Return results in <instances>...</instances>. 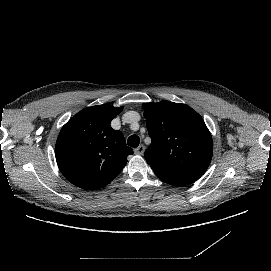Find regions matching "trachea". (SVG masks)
Listing matches in <instances>:
<instances>
[{
    "label": "trachea",
    "mask_w": 271,
    "mask_h": 271,
    "mask_svg": "<svg viewBox=\"0 0 271 271\" xmlns=\"http://www.w3.org/2000/svg\"><path fill=\"white\" fill-rule=\"evenodd\" d=\"M127 143L130 147H137L140 143V139L136 135H132L128 138Z\"/></svg>",
    "instance_id": "obj_1"
}]
</instances>
